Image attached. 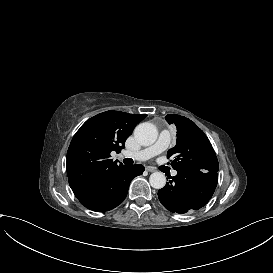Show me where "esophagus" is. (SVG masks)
Wrapping results in <instances>:
<instances>
[{"instance_id": "esophagus-1", "label": "esophagus", "mask_w": 273, "mask_h": 273, "mask_svg": "<svg viewBox=\"0 0 273 273\" xmlns=\"http://www.w3.org/2000/svg\"><path fill=\"white\" fill-rule=\"evenodd\" d=\"M145 170L148 171V172H151V173L156 171L155 168L150 167V166H146V167H145Z\"/></svg>"}]
</instances>
